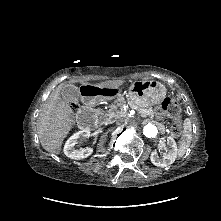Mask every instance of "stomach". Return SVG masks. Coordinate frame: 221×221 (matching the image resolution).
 Returning a JSON list of instances; mask_svg holds the SVG:
<instances>
[{
	"instance_id": "1",
	"label": "stomach",
	"mask_w": 221,
	"mask_h": 221,
	"mask_svg": "<svg viewBox=\"0 0 221 221\" xmlns=\"http://www.w3.org/2000/svg\"><path fill=\"white\" fill-rule=\"evenodd\" d=\"M128 94L132 103L144 107L160 103L166 95V88L155 80H138L131 84Z\"/></svg>"
}]
</instances>
